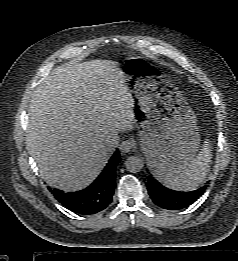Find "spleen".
I'll return each mask as SVG.
<instances>
[{
	"mask_svg": "<svg viewBox=\"0 0 238 261\" xmlns=\"http://www.w3.org/2000/svg\"><path fill=\"white\" fill-rule=\"evenodd\" d=\"M212 158L211 144L208 140L202 145V150L179 174L164 181L168 188L178 191L196 189L206 178Z\"/></svg>",
	"mask_w": 238,
	"mask_h": 261,
	"instance_id": "obj_1",
	"label": "spleen"
}]
</instances>
